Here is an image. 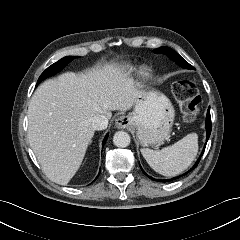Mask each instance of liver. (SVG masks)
<instances>
[{"label": "liver", "mask_w": 240, "mask_h": 240, "mask_svg": "<svg viewBox=\"0 0 240 240\" xmlns=\"http://www.w3.org/2000/svg\"><path fill=\"white\" fill-rule=\"evenodd\" d=\"M142 92L117 64L41 84L28 107V138L45 175L68 184L94 136L92 118L131 109Z\"/></svg>", "instance_id": "1"}]
</instances>
